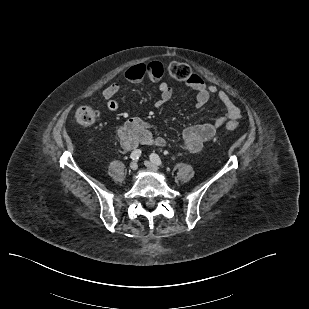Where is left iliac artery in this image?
Instances as JSON below:
<instances>
[{"label": "left iliac artery", "instance_id": "44dca946", "mask_svg": "<svg viewBox=\"0 0 309 309\" xmlns=\"http://www.w3.org/2000/svg\"><path fill=\"white\" fill-rule=\"evenodd\" d=\"M150 160H151L153 163H155V164H157V165H159V166H162V165H163V163H162L160 157H159L157 154H155V153H152V154L150 155Z\"/></svg>", "mask_w": 309, "mask_h": 309}]
</instances>
